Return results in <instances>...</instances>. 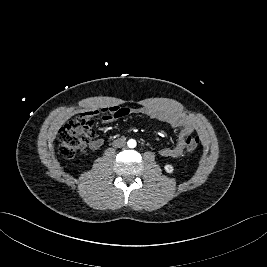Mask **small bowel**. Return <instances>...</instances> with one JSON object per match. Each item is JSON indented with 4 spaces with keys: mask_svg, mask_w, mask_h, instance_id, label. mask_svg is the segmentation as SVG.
Here are the masks:
<instances>
[{
    "mask_svg": "<svg viewBox=\"0 0 267 267\" xmlns=\"http://www.w3.org/2000/svg\"><path fill=\"white\" fill-rule=\"evenodd\" d=\"M141 114L151 119L165 122L175 129L179 130L178 138L173 146L164 147L160 150V155L163 157L179 158L183 155L185 150L186 138L193 133L195 125L187 116L170 110H165L157 107L146 106L140 108H123L111 107L98 110H89L81 115L93 117L101 115L105 122H112L117 118L124 117L128 114ZM104 143L102 138L94 139L90 142L89 147L92 150L99 149Z\"/></svg>",
    "mask_w": 267,
    "mask_h": 267,
    "instance_id": "obj_1",
    "label": "small bowel"
}]
</instances>
